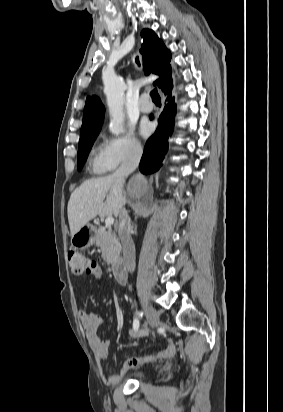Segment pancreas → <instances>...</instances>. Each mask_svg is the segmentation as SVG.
Instances as JSON below:
<instances>
[{"label": "pancreas", "instance_id": "obj_1", "mask_svg": "<svg viewBox=\"0 0 283 412\" xmlns=\"http://www.w3.org/2000/svg\"><path fill=\"white\" fill-rule=\"evenodd\" d=\"M96 245L102 250V257L107 264L115 265L120 255V244L116 234L110 228L100 227L96 231Z\"/></svg>", "mask_w": 283, "mask_h": 412}]
</instances>
